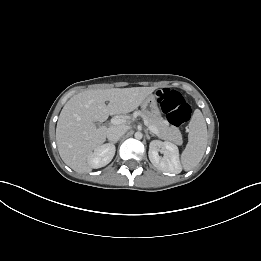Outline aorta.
I'll list each match as a JSON object with an SVG mask.
<instances>
[{
	"label": "aorta",
	"mask_w": 261,
	"mask_h": 261,
	"mask_svg": "<svg viewBox=\"0 0 261 261\" xmlns=\"http://www.w3.org/2000/svg\"><path fill=\"white\" fill-rule=\"evenodd\" d=\"M134 136H135L136 139H142V137H143L142 133L139 132V131L136 132Z\"/></svg>",
	"instance_id": "1"
}]
</instances>
